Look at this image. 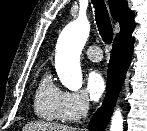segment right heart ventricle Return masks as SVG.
I'll return each instance as SVG.
<instances>
[{"label": "right heart ventricle", "instance_id": "right-heart-ventricle-1", "mask_svg": "<svg viewBox=\"0 0 147 131\" xmlns=\"http://www.w3.org/2000/svg\"><path fill=\"white\" fill-rule=\"evenodd\" d=\"M63 91L54 83L50 73H45L35 91V114L47 121L61 120L59 116V103Z\"/></svg>", "mask_w": 147, "mask_h": 131}]
</instances>
